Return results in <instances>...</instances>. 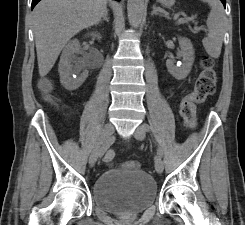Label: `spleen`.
<instances>
[{"label":"spleen","mask_w":245,"mask_h":225,"mask_svg":"<svg viewBox=\"0 0 245 225\" xmlns=\"http://www.w3.org/2000/svg\"><path fill=\"white\" fill-rule=\"evenodd\" d=\"M162 1V0H158ZM211 7L207 18L208 37L204 38L202 43L208 53L213 58H218L221 53L223 36L225 33V13L219 0H202Z\"/></svg>","instance_id":"spleen-1"}]
</instances>
